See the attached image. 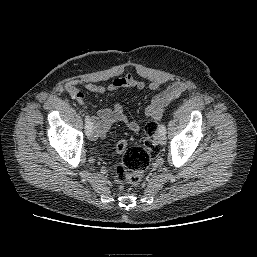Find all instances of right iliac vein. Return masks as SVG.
<instances>
[{"label": "right iliac vein", "instance_id": "63e3f726", "mask_svg": "<svg viewBox=\"0 0 257 257\" xmlns=\"http://www.w3.org/2000/svg\"><path fill=\"white\" fill-rule=\"evenodd\" d=\"M89 139H90V140H95V139H97V136L95 135V133H94L93 131L89 134Z\"/></svg>", "mask_w": 257, "mask_h": 257}]
</instances>
